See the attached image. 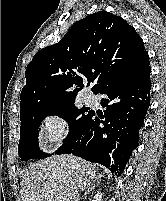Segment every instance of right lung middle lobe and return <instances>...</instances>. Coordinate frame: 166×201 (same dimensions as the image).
<instances>
[{"label":"right lung middle lobe","instance_id":"obj_1","mask_svg":"<svg viewBox=\"0 0 166 201\" xmlns=\"http://www.w3.org/2000/svg\"><path fill=\"white\" fill-rule=\"evenodd\" d=\"M84 112H88V114H84ZM91 113L92 111L86 108H76L73 101L56 107L21 114L20 140L18 145L19 157L22 160H29L50 156L41 152L38 147V129L45 117L57 114L68 120L70 130L64 142L65 144L81 128Z\"/></svg>","mask_w":166,"mask_h":201}]
</instances>
